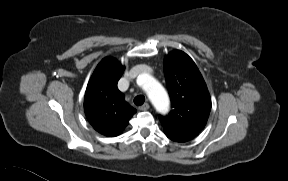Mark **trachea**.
Returning <instances> with one entry per match:
<instances>
[{
  "instance_id": "1",
  "label": "trachea",
  "mask_w": 288,
  "mask_h": 181,
  "mask_svg": "<svg viewBox=\"0 0 288 181\" xmlns=\"http://www.w3.org/2000/svg\"><path fill=\"white\" fill-rule=\"evenodd\" d=\"M145 102V97L143 95H138L134 98V103L136 105H142Z\"/></svg>"
}]
</instances>
